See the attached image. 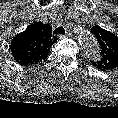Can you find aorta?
Returning a JSON list of instances; mask_svg holds the SVG:
<instances>
[{"mask_svg":"<svg viewBox=\"0 0 118 118\" xmlns=\"http://www.w3.org/2000/svg\"><path fill=\"white\" fill-rule=\"evenodd\" d=\"M79 42L86 55L93 59L100 57V48L95 37L85 28H80L78 32Z\"/></svg>","mask_w":118,"mask_h":118,"instance_id":"aorta-1","label":"aorta"}]
</instances>
